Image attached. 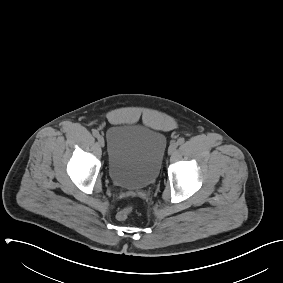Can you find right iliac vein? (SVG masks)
<instances>
[{
  "mask_svg": "<svg viewBox=\"0 0 283 283\" xmlns=\"http://www.w3.org/2000/svg\"><path fill=\"white\" fill-rule=\"evenodd\" d=\"M98 144L101 146V147H104V138L102 136H98Z\"/></svg>",
  "mask_w": 283,
  "mask_h": 283,
  "instance_id": "1",
  "label": "right iliac vein"
}]
</instances>
